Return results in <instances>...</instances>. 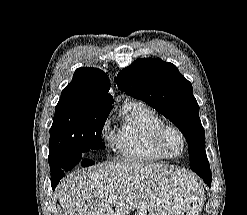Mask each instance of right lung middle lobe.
<instances>
[{"mask_svg":"<svg viewBox=\"0 0 247 215\" xmlns=\"http://www.w3.org/2000/svg\"><path fill=\"white\" fill-rule=\"evenodd\" d=\"M109 113L110 108L86 103L70 92L61 93L50 129V170L58 168L67 155L86 156L90 151L102 148L101 132Z\"/></svg>","mask_w":247,"mask_h":215,"instance_id":"right-lung-middle-lobe-1","label":"right lung middle lobe"}]
</instances>
